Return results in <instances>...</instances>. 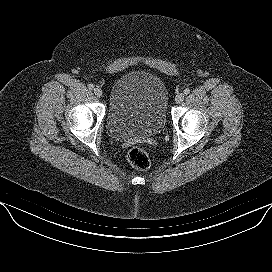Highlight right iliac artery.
<instances>
[{
	"mask_svg": "<svg viewBox=\"0 0 272 272\" xmlns=\"http://www.w3.org/2000/svg\"><path fill=\"white\" fill-rule=\"evenodd\" d=\"M88 88H89L90 90H92V89H94V85H93L92 83H90V84H88Z\"/></svg>",
	"mask_w": 272,
	"mask_h": 272,
	"instance_id": "obj_1",
	"label": "right iliac artery"
}]
</instances>
